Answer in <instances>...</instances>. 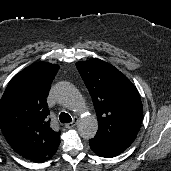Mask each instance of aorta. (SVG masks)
Segmentation results:
<instances>
[{
    "instance_id": "obj_1",
    "label": "aorta",
    "mask_w": 171,
    "mask_h": 171,
    "mask_svg": "<svg viewBox=\"0 0 171 171\" xmlns=\"http://www.w3.org/2000/svg\"><path fill=\"white\" fill-rule=\"evenodd\" d=\"M56 99L63 106L69 108L79 115L78 133L82 138H93L98 130V121L92 114H88L87 105L77 91V89L68 82H61L56 88Z\"/></svg>"
}]
</instances>
